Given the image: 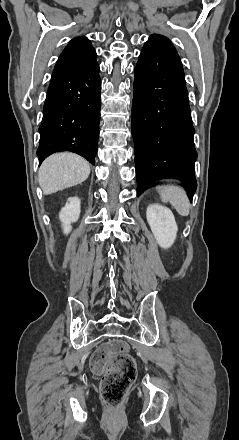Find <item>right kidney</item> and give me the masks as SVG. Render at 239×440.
Instances as JSON below:
<instances>
[{
    "label": "right kidney",
    "mask_w": 239,
    "mask_h": 440,
    "mask_svg": "<svg viewBox=\"0 0 239 440\" xmlns=\"http://www.w3.org/2000/svg\"><path fill=\"white\" fill-rule=\"evenodd\" d=\"M80 216V200L79 198H68V202L62 208L59 214V220L62 222L63 234H69L72 228L70 224L77 222Z\"/></svg>",
    "instance_id": "right-kidney-1"
}]
</instances>
